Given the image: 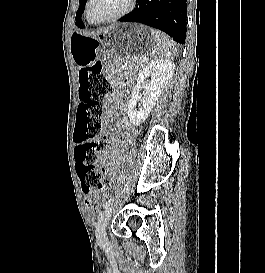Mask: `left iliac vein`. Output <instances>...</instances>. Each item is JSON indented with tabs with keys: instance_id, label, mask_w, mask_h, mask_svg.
Wrapping results in <instances>:
<instances>
[{
	"instance_id": "left-iliac-vein-1",
	"label": "left iliac vein",
	"mask_w": 265,
	"mask_h": 273,
	"mask_svg": "<svg viewBox=\"0 0 265 273\" xmlns=\"http://www.w3.org/2000/svg\"><path fill=\"white\" fill-rule=\"evenodd\" d=\"M115 211V206H110L101 215L98 224L96 226V238L97 244L102 248H107L108 240L106 236V227L109 223L112 214Z\"/></svg>"
}]
</instances>
